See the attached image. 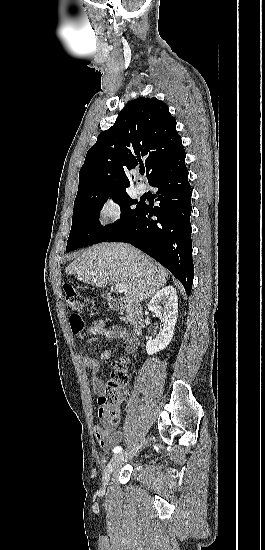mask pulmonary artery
Segmentation results:
<instances>
[{"mask_svg": "<svg viewBox=\"0 0 265 550\" xmlns=\"http://www.w3.org/2000/svg\"><path fill=\"white\" fill-rule=\"evenodd\" d=\"M146 190H147V187L144 183H138L136 185V191H137L138 194H140V195L144 194L146 192Z\"/></svg>", "mask_w": 265, "mask_h": 550, "instance_id": "obj_1", "label": "pulmonary artery"}]
</instances>
